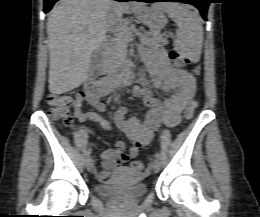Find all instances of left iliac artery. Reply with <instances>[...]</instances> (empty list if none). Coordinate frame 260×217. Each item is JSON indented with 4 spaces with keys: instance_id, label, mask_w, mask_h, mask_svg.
I'll return each mask as SVG.
<instances>
[{
    "instance_id": "left-iliac-artery-1",
    "label": "left iliac artery",
    "mask_w": 260,
    "mask_h": 217,
    "mask_svg": "<svg viewBox=\"0 0 260 217\" xmlns=\"http://www.w3.org/2000/svg\"><path fill=\"white\" fill-rule=\"evenodd\" d=\"M155 157H156V159L160 160V153H159V152H156V153H155Z\"/></svg>"
}]
</instances>
